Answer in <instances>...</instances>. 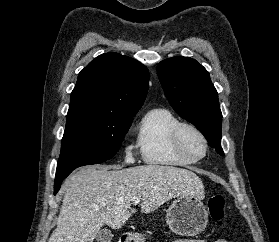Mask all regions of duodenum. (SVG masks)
I'll return each mask as SVG.
<instances>
[{
	"instance_id": "duodenum-1",
	"label": "duodenum",
	"mask_w": 279,
	"mask_h": 242,
	"mask_svg": "<svg viewBox=\"0 0 279 242\" xmlns=\"http://www.w3.org/2000/svg\"><path fill=\"white\" fill-rule=\"evenodd\" d=\"M128 241V237H127V235H124L123 237H122V242H127Z\"/></svg>"
}]
</instances>
